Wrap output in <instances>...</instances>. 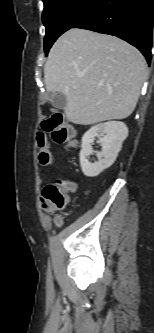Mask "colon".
Listing matches in <instances>:
<instances>
[{"label":"colon","mask_w":154,"mask_h":333,"mask_svg":"<svg viewBox=\"0 0 154 333\" xmlns=\"http://www.w3.org/2000/svg\"><path fill=\"white\" fill-rule=\"evenodd\" d=\"M45 134H49L57 144L66 148L76 146L75 129L66 122L61 114H53L43 120L41 131L37 134L38 162L42 166L49 165L51 153ZM75 188L74 183L59 179L48 184L42 192L41 201L43 208L50 212L61 211L67 203L68 195Z\"/></svg>","instance_id":"colon-1"}]
</instances>
